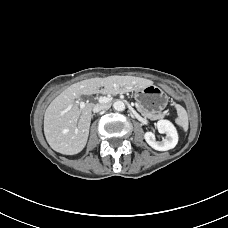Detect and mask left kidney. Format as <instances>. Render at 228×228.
<instances>
[{
  "mask_svg": "<svg viewBox=\"0 0 228 228\" xmlns=\"http://www.w3.org/2000/svg\"><path fill=\"white\" fill-rule=\"evenodd\" d=\"M157 129L159 133L165 134V138L162 141H157L155 134L149 131L144 134L145 141L158 151L173 149L178 143V133L174 125L168 120H159Z\"/></svg>",
  "mask_w": 228,
  "mask_h": 228,
  "instance_id": "1",
  "label": "left kidney"
}]
</instances>
